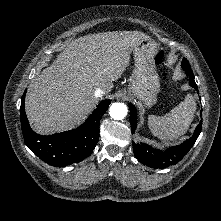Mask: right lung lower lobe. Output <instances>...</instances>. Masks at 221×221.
I'll use <instances>...</instances> for the list:
<instances>
[{
    "instance_id": "obj_1",
    "label": "right lung lower lobe",
    "mask_w": 221,
    "mask_h": 221,
    "mask_svg": "<svg viewBox=\"0 0 221 221\" xmlns=\"http://www.w3.org/2000/svg\"><path fill=\"white\" fill-rule=\"evenodd\" d=\"M24 96L21 99L20 119L22 133L27 147L40 159L55 167H65L87 158L99 140V125L110 100L100 102L86 122L80 127L49 136L35 133L29 126L25 109Z\"/></svg>"
}]
</instances>
